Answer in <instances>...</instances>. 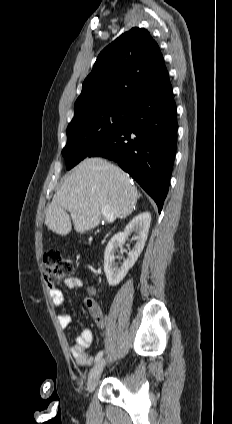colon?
Masks as SVG:
<instances>
[{
  "label": "colon",
  "instance_id": "5ec220e1",
  "mask_svg": "<svg viewBox=\"0 0 232 424\" xmlns=\"http://www.w3.org/2000/svg\"><path fill=\"white\" fill-rule=\"evenodd\" d=\"M42 270L46 284L52 288L74 272V261L70 256L51 250L43 255Z\"/></svg>",
  "mask_w": 232,
  "mask_h": 424
}]
</instances>
